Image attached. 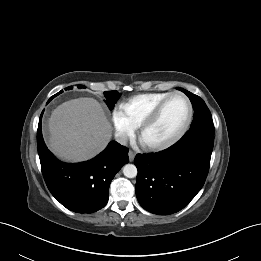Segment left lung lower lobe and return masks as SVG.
Wrapping results in <instances>:
<instances>
[{
  "label": "left lung lower lobe",
  "instance_id": "obj_1",
  "mask_svg": "<svg viewBox=\"0 0 261 261\" xmlns=\"http://www.w3.org/2000/svg\"><path fill=\"white\" fill-rule=\"evenodd\" d=\"M214 133L190 129L164 151L136 155V196L145 210L168 215L188 205L205 183Z\"/></svg>",
  "mask_w": 261,
  "mask_h": 261
}]
</instances>
